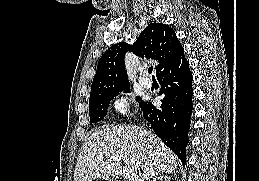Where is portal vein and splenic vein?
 Instances as JSON below:
<instances>
[{
  "label": "portal vein and splenic vein",
  "instance_id": "portal-vein-and-splenic-vein-1",
  "mask_svg": "<svg viewBox=\"0 0 259 181\" xmlns=\"http://www.w3.org/2000/svg\"><path fill=\"white\" fill-rule=\"evenodd\" d=\"M117 158H119V160L126 161V157L125 156H118ZM131 173H132V169L131 168L124 167L121 174H122L124 179H127V178H130Z\"/></svg>",
  "mask_w": 259,
  "mask_h": 181
}]
</instances>
